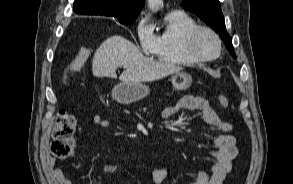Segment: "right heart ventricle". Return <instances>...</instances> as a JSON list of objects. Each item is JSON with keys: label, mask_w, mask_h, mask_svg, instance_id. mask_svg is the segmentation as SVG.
Returning <instances> with one entry per match:
<instances>
[{"label": "right heart ventricle", "mask_w": 293, "mask_h": 184, "mask_svg": "<svg viewBox=\"0 0 293 184\" xmlns=\"http://www.w3.org/2000/svg\"><path fill=\"white\" fill-rule=\"evenodd\" d=\"M196 21L181 11L168 13L164 19L163 29L156 34L153 55L161 62L192 66L197 64L189 57L184 48L185 37L190 30L197 27Z\"/></svg>", "instance_id": "e07e8e85"}]
</instances>
